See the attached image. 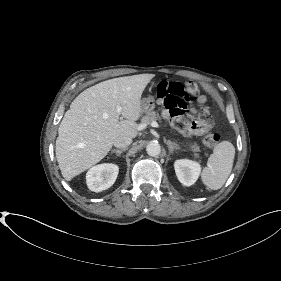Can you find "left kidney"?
<instances>
[{
  "label": "left kidney",
  "instance_id": "obj_1",
  "mask_svg": "<svg viewBox=\"0 0 281 281\" xmlns=\"http://www.w3.org/2000/svg\"><path fill=\"white\" fill-rule=\"evenodd\" d=\"M174 168L178 180L185 186L193 185L201 172L200 164L188 159L176 160Z\"/></svg>",
  "mask_w": 281,
  "mask_h": 281
}]
</instances>
